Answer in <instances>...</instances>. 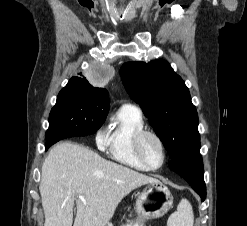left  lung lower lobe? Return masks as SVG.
I'll list each match as a JSON object with an SVG mask.
<instances>
[{
	"label": "left lung lower lobe",
	"mask_w": 247,
	"mask_h": 226,
	"mask_svg": "<svg viewBox=\"0 0 247 226\" xmlns=\"http://www.w3.org/2000/svg\"><path fill=\"white\" fill-rule=\"evenodd\" d=\"M169 168L183 177L200 195L202 201L206 197V187L203 178V162L200 152L192 156L171 160Z\"/></svg>",
	"instance_id": "left-lung-lower-lobe-1"
}]
</instances>
